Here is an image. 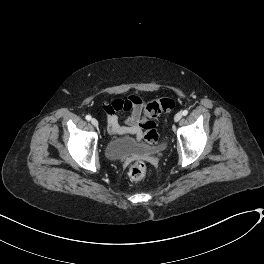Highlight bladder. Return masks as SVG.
I'll return each instance as SVG.
<instances>
[{"label": "bladder", "instance_id": "bladder-1", "mask_svg": "<svg viewBox=\"0 0 264 264\" xmlns=\"http://www.w3.org/2000/svg\"><path fill=\"white\" fill-rule=\"evenodd\" d=\"M164 143H144L133 137H123L106 144L104 152L108 160L117 161L134 155L151 156L162 152Z\"/></svg>", "mask_w": 264, "mask_h": 264}]
</instances>
